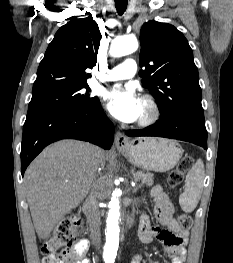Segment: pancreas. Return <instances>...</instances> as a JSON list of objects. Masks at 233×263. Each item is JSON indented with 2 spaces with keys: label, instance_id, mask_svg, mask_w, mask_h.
I'll return each instance as SVG.
<instances>
[{
  "label": "pancreas",
  "instance_id": "obj_1",
  "mask_svg": "<svg viewBox=\"0 0 233 263\" xmlns=\"http://www.w3.org/2000/svg\"><path fill=\"white\" fill-rule=\"evenodd\" d=\"M135 181L141 180L142 184H146L148 186L153 185V174L149 172H143V171H138L133 174Z\"/></svg>",
  "mask_w": 233,
  "mask_h": 263
}]
</instances>
